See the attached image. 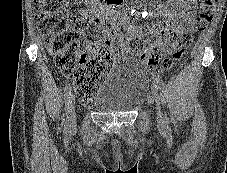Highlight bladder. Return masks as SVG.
Here are the masks:
<instances>
[{
  "label": "bladder",
  "instance_id": "obj_1",
  "mask_svg": "<svg viewBox=\"0 0 227 173\" xmlns=\"http://www.w3.org/2000/svg\"><path fill=\"white\" fill-rule=\"evenodd\" d=\"M149 87L147 68L135 58L117 62L107 73L92 107L103 113H128L145 100Z\"/></svg>",
  "mask_w": 227,
  "mask_h": 173
}]
</instances>
